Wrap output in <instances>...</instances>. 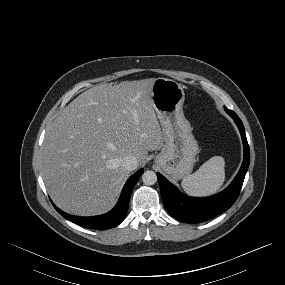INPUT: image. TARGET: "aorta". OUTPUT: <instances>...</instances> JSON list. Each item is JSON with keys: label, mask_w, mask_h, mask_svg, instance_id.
<instances>
[{"label": "aorta", "mask_w": 285, "mask_h": 285, "mask_svg": "<svg viewBox=\"0 0 285 285\" xmlns=\"http://www.w3.org/2000/svg\"><path fill=\"white\" fill-rule=\"evenodd\" d=\"M142 181L145 185H154L157 181V175L154 171L147 170L142 175Z\"/></svg>", "instance_id": "obj_1"}]
</instances>
